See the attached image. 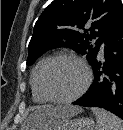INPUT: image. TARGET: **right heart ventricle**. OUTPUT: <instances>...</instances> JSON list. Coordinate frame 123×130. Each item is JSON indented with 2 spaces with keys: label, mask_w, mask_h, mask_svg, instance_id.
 I'll list each match as a JSON object with an SVG mask.
<instances>
[{
  "label": "right heart ventricle",
  "mask_w": 123,
  "mask_h": 130,
  "mask_svg": "<svg viewBox=\"0 0 123 130\" xmlns=\"http://www.w3.org/2000/svg\"><path fill=\"white\" fill-rule=\"evenodd\" d=\"M51 59L50 56L43 57L40 59L36 65L33 67L30 75V85L32 90V96L37 103H47L50 100L44 94L41 87V75L45 65Z\"/></svg>",
  "instance_id": "1"
}]
</instances>
